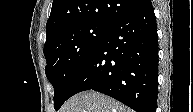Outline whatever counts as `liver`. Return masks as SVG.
I'll use <instances>...</instances> for the list:
<instances>
[{"label":"liver","instance_id":"1","mask_svg":"<svg viewBox=\"0 0 193 112\" xmlns=\"http://www.w3.org/2000/svg\"><path fill=\"white\" fill-rule=\"evenodd\" d=\"M61 112H133L114 99L95 91H84L71 97Z\"/></svg>","mask_w":193,"mask_h":112}]
</instances>
